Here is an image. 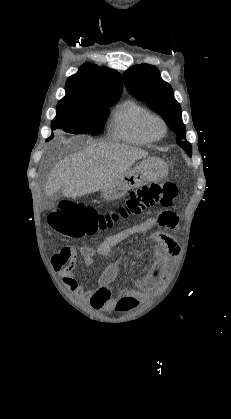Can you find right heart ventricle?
I'll return each mask as SVG.
<instances>
[{
  "label": "right heart ventricle",
  "instance_id": "obj_1",
  "mask_svg": "<svg viewBox=\"0 0 231 419\" xmlns=\"http://www.w3.org/2000/svg\"><path fill=\"white\" fill-rule=\"evenodd\" d=\"M150 114L149 110L134 101H126L114 112L110 125L111 135L125 142L144 145L152 140L143 129L144 119Z\"/></svg>",
  "mask_w": 231,
  "mask_h": 419
}]
</instances>
